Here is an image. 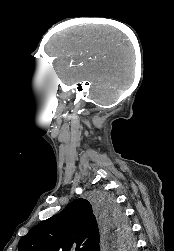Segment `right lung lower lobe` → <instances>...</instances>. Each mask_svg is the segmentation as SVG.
Returning <instances> with one entry per match:
<instances>
[{"instance_id":"98d812e1","label":"right lung lower lobe","mask_w":174,"mask_h":251,"mask_svg":"<svg viewBox=\"0 0 174 251\" xmlns=\"http://www.w3.org/2000/svg\"><path fill=\"white\" fill-rule=\"evenodd\" d=\"M103 229H104V233H103V238H102V242H101V248L102 249H105L107 246V243L109 242L108 241V237L110 236V233L104 228L103 226ZM111 243V241H110Z\"/></svg>"}]
</instances>
